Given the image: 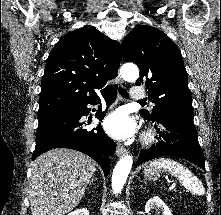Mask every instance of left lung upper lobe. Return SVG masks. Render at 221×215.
Wrapping results in <instances>:
<instances>
[{
  "label": "left lung upper lobe",
  "mask_w": 221,
  "mask_h": 215,
  "mask_svg": "<svg viewBox=\"0 0 221 215\" xmlns=\"http://www.w3.org/2000/svg\"><path fill=\"white\" fill-rule=\"evenodd\" d=\"M126 62L140 69L136 85L144 84L153 101L152 114L140 111L142 117L156 121L164 115L193 117L191 94L182 55L173 41L162 31L141 26L122 42Z\"/></svg>",
  "instance_id": "5c2ea615"
}]
</instances>
